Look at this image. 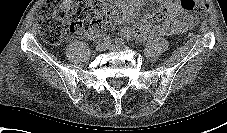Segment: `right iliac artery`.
Here are the masks:
<instances>
[{
	"label": "right iliac artery",
	"mask_w": 227,
	"mask_h": 133,
	"mask_svg": "<svg viewBox=\"0 0 227 133\" xmlns=\"http://www.w3.org/2000/svg\"><path fill=\"white\" fill-rule=\"evenodd\" d=\"M103 42L107 45H109L111 43V39L109 37H104L103 38Z\"/></svg>",
	"instance_id": "82829eb1"
}]
</instances>
